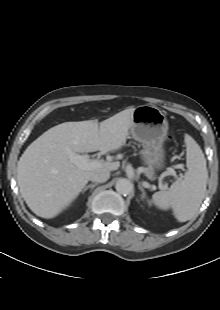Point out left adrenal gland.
Wrapping results in <instances>:
<instances>
[{
	"label": "left adrenal gland",
	"mask_w": 220,
	"mask_h": 310,
	"mask_svg": "<svg viewBox=\"0 0 220 310\" xmlns=\"http://www.w3.org/2000/svg\"><path fill=\"white\" fill-rule=\"evenodd\" d=\"M138 187H139V189L142 192L141 199L144 200L146 198V193H145L144 189L142 188V186L140 184L138 185Z\"/></svg>",
	"instance_id": "1"
}]
</instances>
